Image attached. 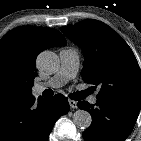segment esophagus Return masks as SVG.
Returning <instances> with one entry per match:
<instances>
[{"label":"esophagus","mask_w":141,"mask_h":141,"mask_svg":"<svg viewBox=\"0 0 141 141\" xmlns=\"http://www.w3.org/2000/svg\"><path fill=\"white\" fill-rule=\"evenodd\" d=\"M69 102V105L72 109H76L78 106H77V102L74 101V100H68Z\"/></svg>","instance_id":"1"}]
</instances>
